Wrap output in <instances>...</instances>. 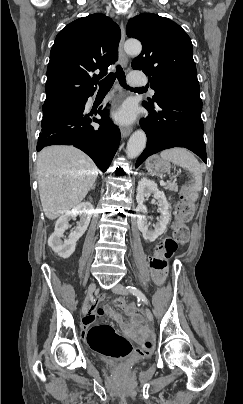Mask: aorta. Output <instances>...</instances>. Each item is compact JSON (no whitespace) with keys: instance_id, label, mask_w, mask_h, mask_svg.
<instances>
[{"instance_id":"762f6f07","label":"aorta","mask_w":243,"mask_h":404,"mask_svg":"<svg viewBox=\"0 0 243 404\" xmlns=\"http://www.w3.org/2000/svg\"><path fill=\"white\" fill-rule=\"evenodd\" d=\"M124 52L127 56H139L142 52V46L138 40H126L124 44ZM147 138L143 130H137L132 134L131 138L128 140L126 156L129 160L133 158H138L142 154L146 146Z\"/></svg>"}]
</instances>
